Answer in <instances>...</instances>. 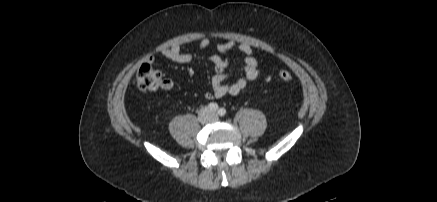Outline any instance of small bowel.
<instances>
[{"instance_id":"obj_1","label":"small bowel","mask_w":437,"mask_h":202,"mask_svg":"<svg viewBox=\"0 0 437 202\" xmlns=\"http://www.w3.org/2000/svg\"><path fill=\"white\" fill-rule=\"evenodd\" d=\"M210 41L204 38L199 43V49L203 50L208 47ZM218 54H212L208 57L213 64L214 75L211 78V91L205 93V98L208 100L214 98H222L227 95H238L245 92L249 87V82L255 80L260 74L259 62L253 55V48L248 43L226 41L218 44ZM238 50L243 57L242 75L231 83H225L229 75L227 68L229 61L227 58L228 52ZM159 53L165 58L180 64L190 63L195 59L191 53L182 51L180 44L175 43L170 47L160 49ZM150 61H153L151 58ZM173 86L172 80L166 78L163 80V89H170Z\"/></svg>"}]
</instances>
